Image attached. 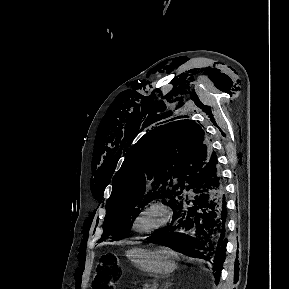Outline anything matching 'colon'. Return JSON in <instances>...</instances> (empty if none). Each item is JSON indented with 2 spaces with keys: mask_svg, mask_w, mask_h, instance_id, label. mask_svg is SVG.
I'll list each match as a JSON object with an SVG mask.
<instances>
[{
  "mask_svg": "<svg viewBox=\"0 0 289 289\" xmlns=\"http://www.w3.org/2000/svg\"><path fill=\"white\" fill-rule=\"evenodd\" d=\"M118 280V268L113 263L110 255H104L97 266L92 289H112L117 285Z\"/></svg>",
  "mask_w": 289,
  "mask_h": 289,
  "instance_id": "colon-1",
  "label": "colon"
}]
</instances>
